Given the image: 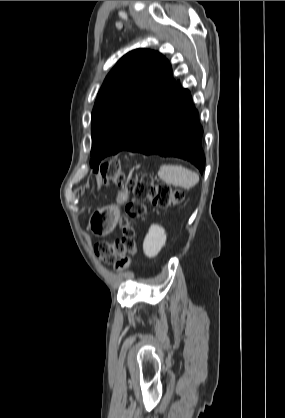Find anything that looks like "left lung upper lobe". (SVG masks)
I'll return each instance as SVG.
<instances>
[{
	"mask_svg": "<svg viewBox=\"0 0 285 418\" xmlns=\"http://www.w3.org/2000/svg\"><path fill=\"white\" fill-rule=\"evenodd\" d=\"M174 83L171 65L159 52L136 49L117 62L92 111V168H98L100 154H116L130 143Z\"/></svg>",
	"mask_w": 285,
	"mask_h": 418,
	"instance_id": "1",
	"label": "left lung upper lobe"
}]
</instances>
